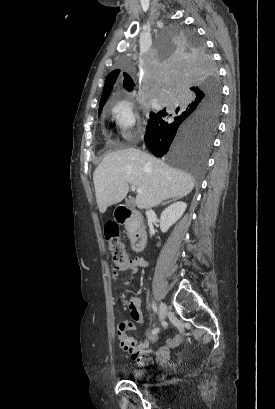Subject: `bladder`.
Returning a JSON list of instances; mask_svg holds the SVG:
<instances>
[{"mask_svg": "<svg viewBox=\"0 0 275 409\" xmlns=\"http://www.w3.org/2000/svg\"><path fill=\"white\" fill-rule=\"evenodd\" d=\"M127 373L128 377L133 380V382H148L150 380L147 368H130Z\"/></svg>", "mask_w": 275, "mask_h": 409, "instance_id": "bladder-1", "label": "bladder"}]
</instances>
